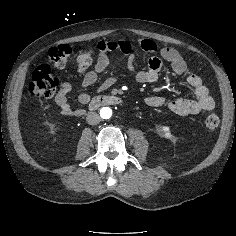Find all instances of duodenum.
<instances>
[{
	"mask_svg": "<svg viewBox=\"0 0 236 236\" xmlns=\"http://www.w3.org/2000/svg\"><path fill=\"white\" fill-rule=\"evenodd\" d=\"M121 103L118 96L113 95H98L89 100V107L96 109L102 106L117 105Z\"/></svg>",
	"mask_w": 236,
	"mask_h": 236,
	"instance_id": "duodenum-1",
	"label": "duodenum"
}]
</instances>
